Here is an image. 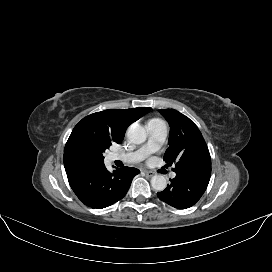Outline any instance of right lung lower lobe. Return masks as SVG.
Listing matches in <instances>:
<instances>
[{"mask_svg":"<svg viewBox=\"0 0 272 272\" xmlns=\"http://www.w3.org/2000/svg\"><path fill=\"white\" fill-rule=\"evenodd\" d=\"M139 170L132 167L116 169L110 173L105 165L67 174L69 184L86 206L102 209L122 199Z\"/></svg>","mask_w":272,"mask_h":272,"instance_id":"1","label":"right lung lower lobe"}]
</instances>
